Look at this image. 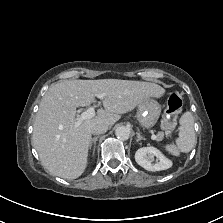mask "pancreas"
<instances>
[{
  "instance_id": "1",
  "label": "pancreas",
  "mask_w": 223,
  "mask_h": 223,
  "mask_svg": "<svg viewBox=\"0 0 223 223\" xmlns=\"http://www.w3.org/2000/svg\"><path fill=\"white\" fill-rule=\"evenodd\" d=\"M170 133H171V131H166V135H170ZM157 136H158L157 141H161L163 139V137H164V133L163 132H159Z\"/></svg>"
}]
</instances>
